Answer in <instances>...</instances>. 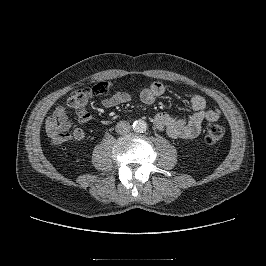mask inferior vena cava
I'll list each match as a JSON object with an SVG mask.
<instances>
[{
	"instance_id": "602c4592",
	"label": "inferior vena cava",
	"mask_w": 266,
	"mask_h": 266,
	"mask_svg": "<svg viewBox=\"0 0 266 266\" xmlns=\"http://www.w3.org/2000/svg\"><path fill=\"white\" fill-rule=\"evenodd\" d=\"M115 130L118 134H126L131 130V125L127 121H120L117 123Z\"/></svg>"
}]
</instances>
